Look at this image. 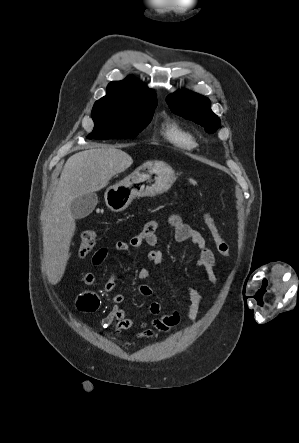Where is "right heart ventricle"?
<instances>
[{
  "instance_id": "right-heart-ventricle-1",
  "label": "right heart ventricle",
  "mask_w": 299,
  "mask_h": 443,
  "mask_svg": "<svg viewBox=\"0 0 299 443\" xmlns=\"http://www.w3.org/2000/svg\"><path fill=\"white\" fill-rule=\"evenodd\" d=\"M161 135L169 144L184 151H191L198 144L195 135L175 121H165L161 127Z\"/></svg>"
}]
</instances>
